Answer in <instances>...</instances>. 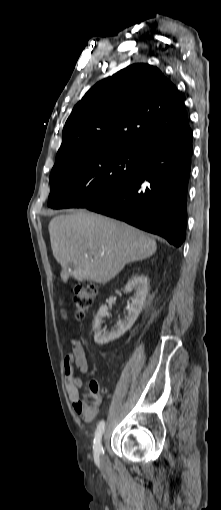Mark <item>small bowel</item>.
I'll return each instance as SVG.
<instances>
[{
  "label": "small bowel",
  "mask_w": 221,
  "mask_h": 510,
  "mask_svg": "<svg viewBox=\"0 0 221 510\" xmlns=\"http://www.w3.org/2000/svg\"><path fill=\"white\" fill-rule=\"evenodd\" d=\"M66 390L72 402L74 411L86 422H91L98 414V408L91 409L81 397L80 390L85 386L84 379L75 375V369L81 373L89 372V364L85 348L80 340H71V351L64 359Z\"/></svg>",
  "instance_id": "small-bowel-1"
}]
</instances>
